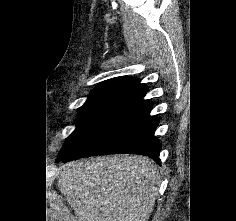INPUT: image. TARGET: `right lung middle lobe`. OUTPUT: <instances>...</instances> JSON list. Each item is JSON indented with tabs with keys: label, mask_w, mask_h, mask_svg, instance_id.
Listing matches in <instances>:
<instances>
[{
	"label": "right lung middle lobe",
	"mask_w": 236,
	"mask_h": 221,
	"mask_svg": "<svg viewBox=\"0 0 236 221\" xmlns=\"http://www.w3.org/2000/svg\"><path fill=\"white\" fill-rule=\"evenodd\" d=\"M135 96L131 93L90 95L80 109L77 128L64 143L57 159H62L71 153L108 118L129 103Z\"/></svg>",
	"instance_id": "1"
}]
</instances>
